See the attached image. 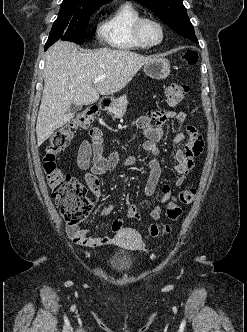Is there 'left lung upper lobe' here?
<instances>
[{
  "instance_id": "left-lung-upper-lobe-1",
  "label": "left lung upper lobe",
  "mask_w": 247,
  "mask_h": 332,
  "mask_svg": "<svg viewBox=\"0 0 247 332\" xmlns=\"http://www.w3.org/2000/svg\"><path fill=\"white\" fill-rule=\"evenodd\" d=\"M153 11L179 35L198 43L182 0H134Z\"/></svg>"
}]
</instances>
